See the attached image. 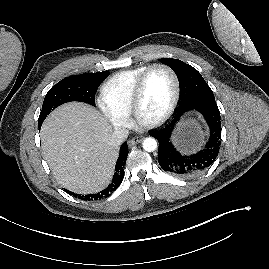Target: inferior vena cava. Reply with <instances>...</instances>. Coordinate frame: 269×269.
Instances as JSON below:
<instances>
[{
	"instance_id": "602c4592",
	"label": "inferior vena cava",
	"mask_w": 269,
	"mask_h": 269,
	"mask_svg": "<svg viewBox=\"0 0 269 269\" xmlns=\"http://www.w3.org/2000/svg\"><path fill=\"white\" fill-rule=\"evenodd\" d=\"M129 135V131L126 128H117L111 135L110 143L113 145H120L123 143Z\"/></svg>"
}]
</instances>
